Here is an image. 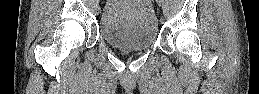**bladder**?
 <instances>
[{
	"instance_id": "obj_1",
	"label": "bladder",
	"mask_w": 259,
	"mask_h": 94,
	"mask_svg": "<svg viewBox=\"0 0 259 94\" xmlns=\"http://www.w3.org/2000/svg\"><path fill=\"white\" fill-rule=\"evenodd\" d=\"M99 32L115 48L145 50L157 39L158 20L150 1L109 0L100 15Z\"/></svg>"
}]
</instances>
